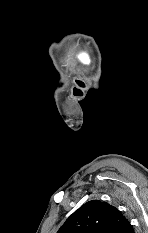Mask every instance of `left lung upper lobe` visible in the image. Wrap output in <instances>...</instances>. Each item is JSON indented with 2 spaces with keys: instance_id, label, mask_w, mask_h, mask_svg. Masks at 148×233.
Listing matches in <instances>:
<instances>
[{
  "instance_id": "left-lung-upper-lobe-1",
  "label": "left lung upper lobe",
  "mask_w": 148,
  "mask_h": 233,
  "mask_svg": "<svg viewBox=\"0 0 148 233\" xmlns=\"http://www.w3.org/2000/svg\"><path fill=\"white\" fill-rule=\"evenodd\" d=\"M123 214L100 200L85 203L60 227L57 233H132Z\"/></svg>"
}]
</instances>
